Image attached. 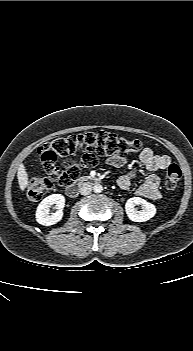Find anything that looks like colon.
I'll return each mask as SVG.
<instances>
[{"label": "colon", "instance_id": "5ec220e1", "mask_svg": "<svg viewBox=\"0 0 193 351\" xmlns=\"http://www.w3.org/2000/svg\"><path fill=\"white\" fill-rule=\"evenodd\" d=\"M141 148L142 144L137 139H126L106 131L59 137L39 147L38 154L48 175L32 179L27 186V196L31 200H40L52 189L54 182L60 186L70 185L79 177L83 167L96 166L101 156L137 153ZM76 152H82L80 161L67 162L62 170L55 166L58 157ZM181 179L180 167L170 164L165 171L166 189L176 190Z\"/></svg>", "mask_w": 193, "mask_h": 351}]
</instances>
